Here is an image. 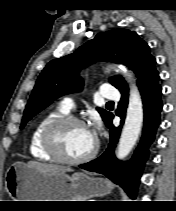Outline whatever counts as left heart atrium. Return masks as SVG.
<instances>
[{
  "instance_id": "obj_1",
  "label": "left heart atrium",
  "mask_w": 176,
  "mask_h": 211,
  "mask_svg": "<svg viewBox=\"0 0 176 211\" xmlns=\"http://www.w3.org/2000/svg\"><path fill=\"white\" fill-rule=\"evenodd\" d=\"M99 128H100V125L97 123V124H95V126L93 128L89 129L90 134L92 135V137L95 140L97 139Z\"/></svg>"
}]
</instances>
